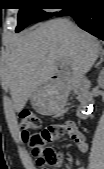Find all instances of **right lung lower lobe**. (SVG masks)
<instances>
[{
	"label": "right lung lower lobe",
	"mask_w": 104,
	"mask_h": 169,
	"mask_svg": "<svg viewBox=\"0 0 104 169\" xmlns=\"http://www.w3.org/2000/svg\"><path fill=\"white\" fill-rule=\"evenodd\" d=\"M70 15L80 28L104 40V0H77L57 16Z\"/></svg>",
	"instance_id": "1"
}]
</instances>
